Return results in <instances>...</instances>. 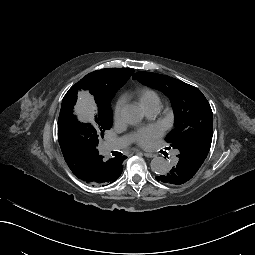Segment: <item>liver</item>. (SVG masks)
Returning a JSON list of instances; mask_svg holds the SVG:
<instances>
[{
	"label": "liver",
	"mask_w": 255,
	"mask_h": 255,
	"mask_svg": "<svg viewBox=\"0 0 255 255\" xmlns=\"http://www.w3.org/2000/svg\"><path fill=\"white\" fill-rule=\"evenodd\" d=\"M80 106H81L82 113H86V114L90 115L91 117L94 116V114L92 112V107L86 100L85 96L82 97V99L80 101Z\"/></svg>",
	"instance_id": "1"
}]
</instances>
